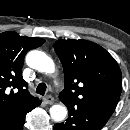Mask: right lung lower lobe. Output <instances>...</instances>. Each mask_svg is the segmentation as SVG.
Listing matches in <instances>:
<instances>
[{
    "label": "right lung lower lobe",
    "instance_id": "1",
    "mask_svg": "<svg viewBox=\"0 0 130 130\" xmlns=\"http://www.w3.org/2000/svg\"><path fill=\"white\" fill-rule=\"evenodd\" d=\"M40 104L41 101H39L34 107L30 108L29 110L25 111L24 113L18 116L0 121V130H23L26 114L35 107L39 106Z\"/></svg>",
    "mask_w": 130,
    "mask_h": 130
}]
</instances>
